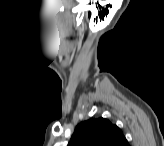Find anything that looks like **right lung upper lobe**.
Returning <instances> with one entry per match:
<instances>
[{
    "mask_svg": "<svg viewBox=\"0 0 164 146\" xmlns=\"http://www.w3.org/2000/svg\"><path fill=\"white\" fill-rule=\"evenodd\" d=\"M122 131L105 118H91L77 125L68 146H127Z\"/></svg>",
    "mask_w": 164,
    "mask_h": 146,
    "instance_id": "right-lung-upper-lobe-1",
    "label": "right lung upper lobe"
}]
</instances>
